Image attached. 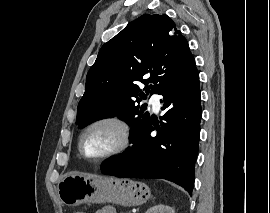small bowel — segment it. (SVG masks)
I'll use <instances>...</instances> for the list:
<instances>
[{"instance_id":"c3829d8e","label":"small bowel","mask_w":270,"mask_h":213,"mask_svg":"<svg viewBox=\"0 0 270 213\" xmlns=\"http://www.w3.org/2000/svg\"><path fill=\"white\" fill-rule=\"evenodd\" d=\"M96 213H116L115 209L111 206H104L96 211Z\"/></svg>"}]
</instances>
